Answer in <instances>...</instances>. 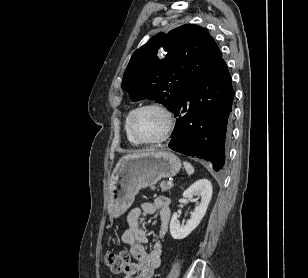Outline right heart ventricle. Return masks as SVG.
Masks as SVG:
<instances>
[{"label": "right heart ventricle", "instance_id": "right-heart-ventricle-1", "mask_svg": "<svg viewBox=\"0 0 308 278\" xmlns=\"http://www.w3.org/2000/svg\"><path fill=\"white\" fill-rule=\"evenodd\" d=\"M131 112V111H130ZM130 112L127 114L126 118H125V122H124V130L127 136L128 141L132 144V145H138L139 143L130 135L129 131H128V127H127V120H128V116L130 114Z\"/></svg>", "mask_w": 308, "mask_h": 278}]
</instances>
